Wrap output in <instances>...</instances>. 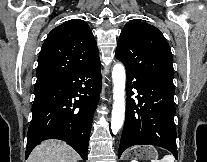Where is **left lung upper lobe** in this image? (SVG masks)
<instances>
[{
    "label": "left lung upper lobe",
    "instance_id": "left-lung-upper-lobe-1",
    "mask_svg": "<svg viewBox=\"0 0 207 162\" xmlns=\"http://www.w3.org/2000/svg\"><path fill=\"white\" fill-rule=\"evenodd\" d=\"M115 55L141 77L173 84V57L163 34L154 26L132 20L120 35Z\"/></svg>",
    "mask_w": 207,
    "mask_h": 162
}]
</instances>
